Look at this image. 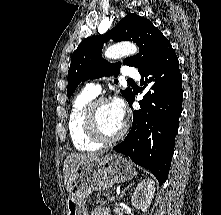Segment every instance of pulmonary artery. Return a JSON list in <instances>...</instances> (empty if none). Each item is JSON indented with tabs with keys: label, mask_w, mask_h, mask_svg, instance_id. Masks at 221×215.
Masks as SVG:
<instances>
[{
	"label": "pulmonary artery",
	"mask_w": 221,
	"mask_h": 215,
	"mask_svg": "<svg viewBox=\"0 0 221 215\" xmlns=\"http://www.w3.org/2000/svg\"><path fill=\"white\" fill-rule=\"evenodd\" d=\"M122 76L132 78V79H138L139 78V72L136 68L131 66H124L122 68L121 72ZM101 87L99 84L96 83H89L87 84L85 91L88 93L96 96L100 93Z\"/></svg>",
	"instance_id": "obj_1"
}]
</instances>
